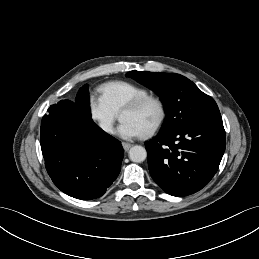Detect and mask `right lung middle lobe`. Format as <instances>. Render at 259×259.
Instances as JSON below:
<instances>
[{
  "instance_id": "right-lung-middle-lobe-1",
  "label": "right lung middle lobe",
  "mask_w": 259,
  "mask_h": 259,
  "mask_svg": "<svg viewBox=\"0 0 259 259\" xmlns=\"http://www.w3.org/2000/svg\"><path fill=\"white\" fill-rule=\"evenodd\" d=\"M75 105L78 107L81 114L87 118H91L89 107V92L87 84L82 86L77 93Z\"/></svg>"
}]
</instances>
